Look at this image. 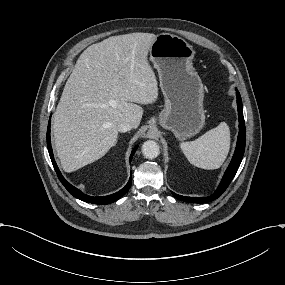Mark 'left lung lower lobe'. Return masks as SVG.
<instances>
[{
	"label": "left lung lower lobe",
	"instance_id": "0a47b994",
	"mask_svg": "<svg viewBox=\"0 0 285 285\" xmlns=\"http://www.w3.org/2000/svg\"><path fill=\"white\" fill-rule=\"evenodd\" d=\"M237 105H238V117H239V135L237 140V146L233 158L231 160V163L228 166L220 185L212 195L207 197H186L172 192L175 198L190 203H207L219 198L227 189L228 185L234 178L240 166L245 150V141H246L245 122L243 117L242 100L240 93L238 91H237Z\"/></svg>",
	"mask_w": 285,
	"mask_h": 285
}]
</instances>
